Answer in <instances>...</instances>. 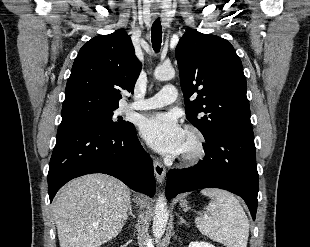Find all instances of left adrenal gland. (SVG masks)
Wrapping results in <instances>:
<instances>
[{"label":"left adrenal gland","mask_w":310,"mask_h":247,"mask_svg":"<svg viewBox=\"0 0 310 247\" xmlns=\"http://www.w3.org/2000/svg\"><path fill=\"white\" fill-rule=\"evenodd\" d=\"M187 224L186 221L183 219V217H180V223L179 224Z\"/></svg>","instance_id":"1"}]
</instances>
